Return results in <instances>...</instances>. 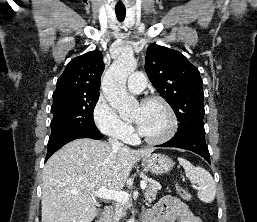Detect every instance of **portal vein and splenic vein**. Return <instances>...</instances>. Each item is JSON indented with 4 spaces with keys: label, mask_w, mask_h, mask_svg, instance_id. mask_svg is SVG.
<instances>
[{
    "label": "portal vein and splenic vein",
    "mask_w": 257,
    "mask_h": 222,
    "mask_svg": "<svg viewBox=\"0 0 257 222\" xmlns=\"http://www.w3.org/2000/svg\"><path fill=\"white\" fill-rule=\"evenodd\" d=\"M141 188H146V182H141ZM93 197H99L107 200H114L121 203H126L129 200L130 195L122 191H111L102 186L99 190L93 192Z\"/></svg>",
    "instance_id": "portal-vein-and-splenic-vein-1"
}]
</instances>
